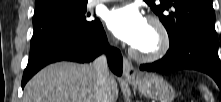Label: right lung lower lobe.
<instances>
[{"instance_id":"obj_1","label":"right lung lower lobe","mask_w":221,"mask_h":102,"mask_svg":"<svg viewBox=\"0 0 221 102\" xmlns=\"http://www.w3.org/2000/svg\"><path fill=\"white\" fill-rule=\"evenodd\" d=\"M108 56L110 69L122 74V56L118 49L109 47L101 22L85 31L58 33L31 49L29 61L22 78V88L44 66L62 60L90 62L102 53Z\"/></svg>"}]
</instances>
